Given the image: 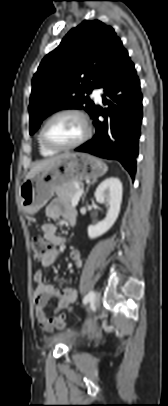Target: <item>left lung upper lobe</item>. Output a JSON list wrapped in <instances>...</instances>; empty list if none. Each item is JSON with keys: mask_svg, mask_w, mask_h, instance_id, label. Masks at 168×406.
Returning <instances> with one entry per match:
<instances>
[{"mask_svg": "<svg viewBox=\"0 0 168 406\" xmlns=\"http://www.w3.org/2000/svg\"><path fill=\"white\" fill-rule=\"evenodd\" d=\"M122 50L114 29L101 21L85 20L71 29L34 74L30 134L47 116L61 109H84L92 116L96 105L85 94L99 87Z\"/></svg>", "mask_w": 168, "mask_h": 406, "instance_id": "1", "label": "left lung upper lobe"}]
</instances>
